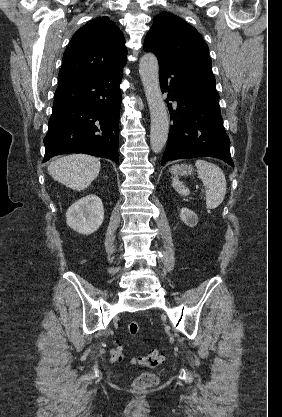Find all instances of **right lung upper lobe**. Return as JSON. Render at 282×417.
Returning <instances> with one entry per match:
<instances>
[{
	"label": "right lung upper lobe",
	"instance_id": "right-lung-upper-lobe-1",
	"mask_svg": "<svg viewBox=\"0 0 282 417\" xmlns=\"http://www.w3.org/2000/svg\"><path fill=\"white\" fill-rule=\"evenodd\" d=\"M127 50L120 29L107 16L77 30L63 55L58 87L121 70Z\"/></svg>",
	"mask_w": 282,
	"mask_h": 417
}]
</instances>
